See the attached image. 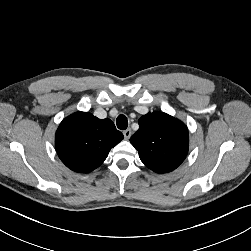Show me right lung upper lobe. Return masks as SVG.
Returning a JSON list of instances; mask_svg holds the SVG:
<instances>
[{
	"mask_svg": "<svg viewBox=\"0 0 251 251\" xmlns=\"http://www.w3.org/2000/svg\"><path fill=\"white\" fill-rule=\"evenodd\" d=\"M123 138L110 119H99L89 112L79 111L60 123L55 147L68 168L89 173L104 162L110 149Z\"/></svg>",
	"mask_w": 251,
	"mask_h": 251,
	"instance_id": "obj_1",
	"label": "right lung upper lobe"
}]
</instances>
